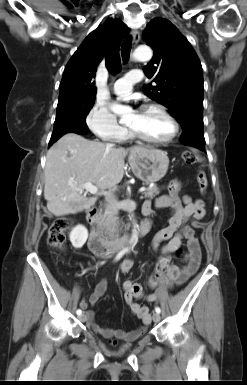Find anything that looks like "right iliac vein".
I'll return each instance as SVG.
<instances>
[{"mask_svg": "<svg viewBox=\"0 0 247 385\" xmlns=\"http://www.w3.org/2000/svg\"><path fill=\"white\" fill-rule=\"evenodd\" d=\"M79 320L82 321V322H84V321H85V315H84V314L80 315V316H79Z\"/></svg>", "mask_w": 247, "mask_h": 385, "instance_id": "obj_1", "label": "right iliac vein"}]
</instances>
